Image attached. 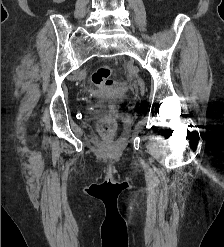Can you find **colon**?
Listing matches in <instances>:
<instances>
[{
  "instance_id": "colon-1",
  "label": "colon",
  "mask_w": 224,
  "mask_h": 247,
  "mask_svg": "<svg viewBox=\"0 0 224 247\" xmlns=\"http://www.w3.org/2000/svg\"><path fill=\"white\" fill-rule=\"evenodd\" d=\"M94 85L101 87L106 92H112L115 89L116 83L112 78L111 68L108 65L98 67L91 76ZM99 130L102 133H109L114 128V123L110 119H104L99 122Z\"/></svg>"
}]
</instances>
